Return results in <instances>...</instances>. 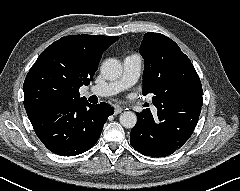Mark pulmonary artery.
I'll list each match as a JSON object with an SVG mask.
<instances>
[{"label":"pulmonary artery","instance_id":"1","mask_svg":"<svg viewBox=\"0 0 240 191\" xmlns=\"http://www.w3.org/2000/svg\"><path fill=\"white\" fill-rule=\"evenodd\" d=\"M142 59L138 54L128 55L123 60V73L117 80L94 85L90 92L97 96H112L132 87L139 79Z\"/></svg>","mask_w":240,"mask_h":191}]
</instances>
